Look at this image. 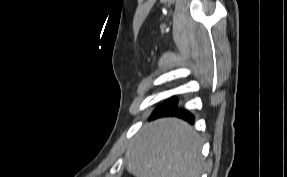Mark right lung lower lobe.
<instances>
[{
    "label": "right lung lower lobe",
    "mask_w": 287,
    "mask_h": 177,
    "mask_svg": "<svg viewBox=\"0 0 287 177\" xmlns=\"http://www.w3.org/2000/svg\"><path fill=\"white\" fill-rule=\"evenodd\" d=\"M177 102L178 101L176 98L166 100L163 104L156 108L151 118L174 115L192 123L194 121V116L187 112L185 109H180L177 106Z\"/></svg>",
    "instance_id": "obj_1"
}]
</instances>
